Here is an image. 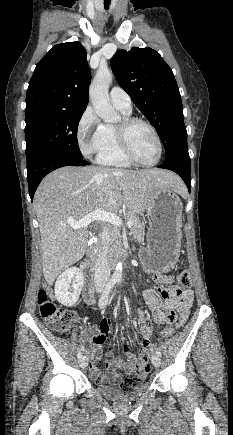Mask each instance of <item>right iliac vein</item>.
<instances>
[{"label":"right iliac vein","instance_id":"obj_1","mask_svg":"<svg viewBox=\"0 0 233 435\" xmlns=\"http://www.w3.org/2000/svg\"><path fill=\"white\" fill-rule=\"evenodd\" d=\"M79 364L82 368H86L88 365V358L86 356H83L79 359Z\"/></svg>","mask_w":233,"mask_h":435}]
</instances>
